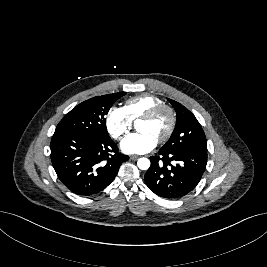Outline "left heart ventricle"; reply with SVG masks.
Instances as JSON below:
<instances>
[{"label":"left heart ventricle","instance_id":"obj_1","mask_svg":"<svg viewBox=\"0 0 267 267\" xmlns=\"http://www.w3.org/2000/svg\"><path fill=\"white\" fill-rule=\"evenodd\" d=\"M169 124V118L166 113L160 114L151 121H140L137 124V130L152 135L157 140L165 133Z\"/></svg>","mask_w":267,"mask_h":267}]
</instances>
